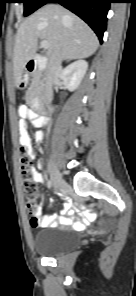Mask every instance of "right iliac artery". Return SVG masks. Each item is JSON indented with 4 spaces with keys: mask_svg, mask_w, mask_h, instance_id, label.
Segmentation results:
<instances>
[{
    "mask_svg": "<svg viewBox=\"0 0 136 296\" xmlns=\"http://www.w3.org/2000/svg\"><path fill=\"white\" fill-rule=\"evenodd\" d=\"M47 186H48V188H51L52 187V181L51 180H48Z\"/></svg>",
    "mask_w": 136,
    "mask_h": 296,
    "instance_id": "right-iliac-artery-1",
    "label": "right iliac artery"
}]
</instances>
